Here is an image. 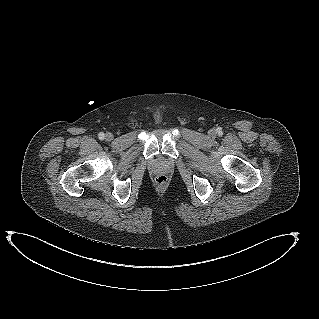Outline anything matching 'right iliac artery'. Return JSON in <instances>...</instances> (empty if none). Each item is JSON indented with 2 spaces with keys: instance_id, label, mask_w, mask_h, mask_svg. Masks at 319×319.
Listing matches in <instances>:
<instances>
[{
  "instance_id": "obj_1",
  "label": "right iliac artery",
  "mask_w": 319,
  "mask_h": 319,
  "mask_svg": "<svg viewBox=\"0 0 319 319\" xmlns=\"http://www.w3.org/2000/svg\"><path fill=\"white\" fill-rule=\"evenodd\" d=\"M98 137H99L100 139H103V138H104V133H103V132H100V133L98 134Z\"/></svg>"
}]
</instances>
